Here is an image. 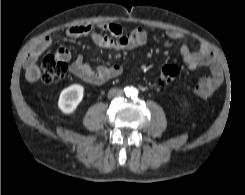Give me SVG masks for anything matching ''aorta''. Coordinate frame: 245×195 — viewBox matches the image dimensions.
Instances as JSON below:
<instances>
[{
	"instance_id": "1",
	"label": "aorta",
	"mask_w": 245,
	"mask_h": 195,
	"mask_svg": "<svg viewBox=\"0 0 245 195\" xmlns=\"http://www.w3.org/2000/svg\"><path fill=\"white\" fill-rule=\"evenodd\" d=\"M136 92H137V90L131 89L130 92H128V94H129V95H130V94H135Z\"/></svg>"
}]
</instances>
